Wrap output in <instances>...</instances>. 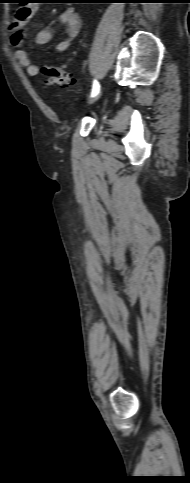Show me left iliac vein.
Segmentation results:
<instances>
[{
	"label": "left iliac vein",
	"instance_id": "4c4485c4",
	"mask_svg": "<svg viewBox=\"0 0 190 483\" xmlns=\"http://www.w3.org/2000/svg\"><path fill=\"white\" fill-rule=\"evenodd\" d=\"M96 98H97V97H96ZM96 98H95V99H93V100H91V101L89 102V104H92V103H93V102L96 100Z\"/></svg>",
	"mask_w": 190,
	"mask_h": 483
}]
</instances>
